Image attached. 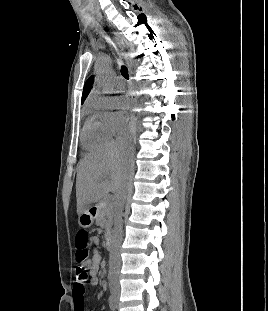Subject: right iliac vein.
Masks as SVG:
<instances>
[{
  "instance_id": "right-iliac-vein-1",
  "label": "right iliac vein",
  "mask_w": 268,
  "mask_h": 311,
  "mask_svg": "<svg viewBox=\"0 0 268 311\" xmlns=\"http://www.w3.org/2000/svg\"><path fill=\"white\" fill-rule=\"evenodd\" d=\"M111 293H112V296L115 299V301H117L119 294H120L119 289L112 288Z\"/></svg>"
}]
</instances>
